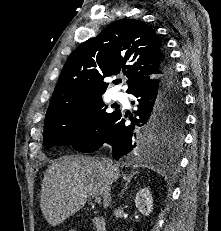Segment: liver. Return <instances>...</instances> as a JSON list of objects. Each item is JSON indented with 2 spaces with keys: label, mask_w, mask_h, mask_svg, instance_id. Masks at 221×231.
<instances>
[{
  "label": "liver",
  "mask_w": 221,
  "mask_h": 231,
  "mask_svg": "<svg viewBox=\"0 0 221 231\" xmlns=\"http://www.w3.org/2000/svg\"><path fill=\"white\" fill-rule=\"evenodd\" d=\"M120 177L99 159L87 156H63L53 162L44 175L40 207L47 222L56 226L81 210L89 196L101 197L103 207L111 204V184Z\"/></svg>",
  "instance_id": "6515ba94"
}]
</instances>
